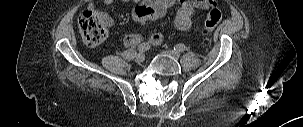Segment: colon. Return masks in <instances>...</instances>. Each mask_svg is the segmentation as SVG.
<instances>
[{"label": "colon", "instance_id": "colon-1", "mask_svg": "<svg viewBox=\"0 0 303 127\" xmlns=\"http://www.w3.org/2000/svg\"><path fill=\"white\" fill-rule=\"evenodd\" d=\"M222 18L221 10L212 6L205 20L206 37L204 44L210 46L211 34L216 29ZM78 27L83 41L88 46H97L104 42L107 30L100 20L99 15L91 10L83 12L78 18Z\"/></svg>", "mask_w": 303, "mask_h": 127}]
</instances>
